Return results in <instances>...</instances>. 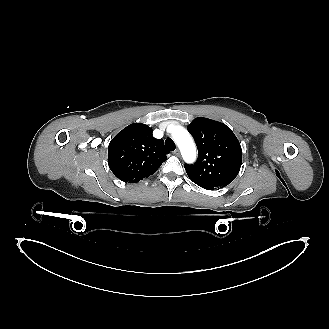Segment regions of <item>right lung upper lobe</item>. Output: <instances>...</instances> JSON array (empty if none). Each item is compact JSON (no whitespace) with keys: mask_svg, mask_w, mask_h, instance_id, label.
I'll list each match as a JSON object with an SVG mask.
<instances>
[{"mask_svg":"<svg viewBox=\"0 0 329 329\" xmlns=\"http://www.w3.org/2000/svg\"><path fill=\"white\" fill-rule=\"evenodd\" d=\"M152 128L134 123L120 131L109 143L108 164L114 175L136 183L152 175L169 152L162 139L152 137Z\"/></svg>","mask_w":329,"mask_h":329,"instance_id":"cb5924a9","label":"right lung upper lobe"}]
</instances>
